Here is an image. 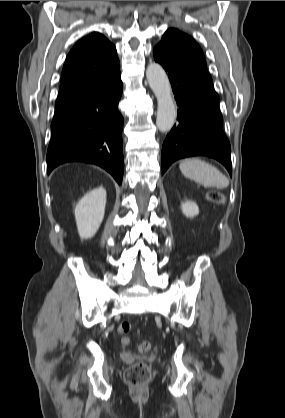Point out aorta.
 Here are the masks:
<instances>
[{"mask_svg":"<svg viewBox=\"0 0 285 418\" xmlns=\"http://www.w3.org/2000/svg\"><path fill=\"white\" fill-rule=\"evenodd\" d=\"M146 77L157 98L156 125L161 132H168L173 127L177 115L169 79L165 70L157 63H151L147 67Z\"/></svg>","mask_w":285,"mask_h":418,"instance_id":"aorta-1","label":"aorta"}]
</instances>
